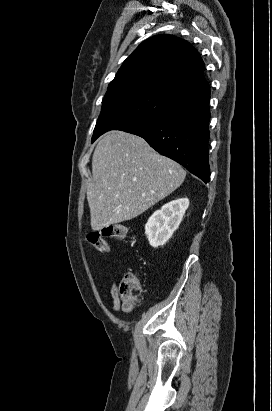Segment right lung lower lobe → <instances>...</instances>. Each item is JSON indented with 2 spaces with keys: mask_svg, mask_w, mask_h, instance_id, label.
<instances>
[{
  "mask_svg": "<svg viewBox=\"0 0 272 411\" xmlns=\"http://www.w3.org/2000/svg\"><path fill=\"white\" fill-rule=\"evenodd\" d=\"M209 99L210 95L191 101L126 132L144 138L160 154L177 161L207 183L210 180Z\"/></svg>",
  "mask_w": 272,
  "mask_h": 411,
  "instance_id": "98d812e1",
  "label": "right lung lower lobe"
}]
</instances>
